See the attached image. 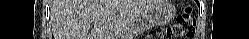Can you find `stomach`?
Here are the masks:
<instances>
[{"mask_svg":"<svg viewBox=\"0 0 249 39\" xmlns=\"http://www.w3.org/2000/svg\"><path fill=\"white\" fill-rule=\"evenodd\" d=\"M174 12L175 8L168 0H158L131 23L124 37L134 39L150 28L168 24L172 20Z\"/></svg>","mask_w":249,"mask_h":39,"instance_id":"stomach-1","label":"stomach"}]
</instances>
